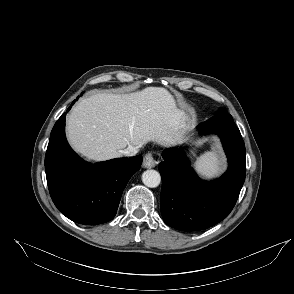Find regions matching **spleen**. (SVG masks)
Wrapping results in <instances>:
<instances>
[{"label": "spleen", "mask_w": 294, "mask_h": 294, "mask_svg": "<svg viewBox=\"0 0 294 294\" xmlns=\"http://www.w3.org/2000/svg\"><path fill=\"white\" fill-rule=\"evenodd\" d=\"M195 164L198 170L208 177L216 176L221 169V161L216 152L204 153L197 158Z\"/></svg>", "instance_id": "3e777b00"}]
</instances>
